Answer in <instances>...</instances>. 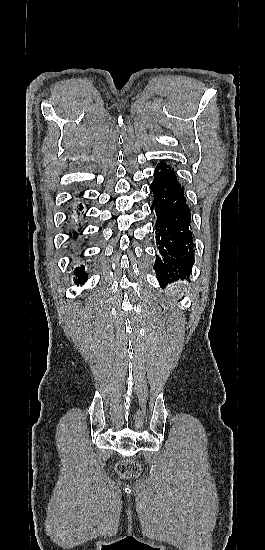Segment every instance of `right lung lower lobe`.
<instances>
[{
    "mask_svg": "<svg viewBox=\"0 0 265 550\" xmlns=\"http://www.w3.org/2000/svg\"><path fill=\"white\" fill-rule=\"evenodd\" d=\"M82 209H83V207L80 204L78 211H82ZM75 273H76V276L78 277L77 279H75V283H77V284L78 283H85V281L87 280L88 277L86 275H84L83 266L76 268Z\"/></svg>",
    "mask_w": 265,
    "mask_h": 550,
    "instance_id": "obj_1",
    "label": "right lung lower lobe"
}]
</instances>
